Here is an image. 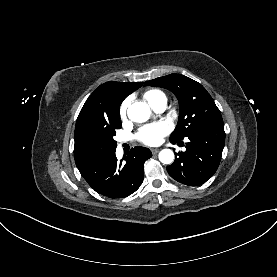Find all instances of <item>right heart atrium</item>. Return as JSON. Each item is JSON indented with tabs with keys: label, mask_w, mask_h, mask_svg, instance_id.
Wrapping results in <instances>:
<instances>
[{
	"label": "right heart atrium",
	"mask_w": 277,
	"mask_h": 277,
	"mask_svg": "<svg viewBox=\"0 0 277 277\" xmlns=\"http://www.w3.org/2000/svg\"><path fill=\"white\" fill-rule=\"evenodd\" d=\"M128 105H129V99H126L123 101V103L120 106L119 112H120V116L122 119H124L126 117Z\"/></svg>",
	"instance_id": "obj_1"
}]
</instances>
